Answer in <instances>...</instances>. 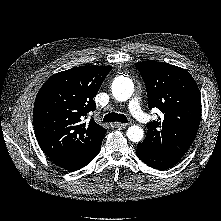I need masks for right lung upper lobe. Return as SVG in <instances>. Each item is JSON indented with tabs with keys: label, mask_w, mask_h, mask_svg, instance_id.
I'll return each instance as SVG.
<instances>
[{
	"label": "right lung upper lobe",
	"mask_w": 221,
	"mask_h": 221,
	"mask_svg": "<svg viewBox=\"0 0 221 221\" xmlns=\"http://www.w3.org/2000/svg\"><path fill=\"white\" fill-rule=\"evenodd\" d=\"M111 66H82L51 76L37 94L34 129L43 152L51 159H78L96 150L106 129L93 118V98Z\"/></svg>",
	"instance_id": "1"
}]
</instances>
